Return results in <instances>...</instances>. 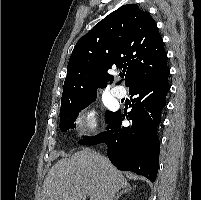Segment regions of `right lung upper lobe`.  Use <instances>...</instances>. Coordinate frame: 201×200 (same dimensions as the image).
<instances>
[{
    "mask_svg": "<svg viewBox=\"0 0 201 200\" xmlns=\"http://www.w3.org/2000/svg\"><path fill=\"white\" fill-rule=\"evenodd\" d=\"M115 66L126 71L129 88L167 68L157 25L136 4L123 5L79 39L68 62L61 102L96 94L98 87L113 82L108 70Z\"/></svg>",
    "mask_w": 201,
    "mask_h": 200,
    "instance_id": "obj_1",
    "label": "right lung upper lobe"
}]
</instances>
